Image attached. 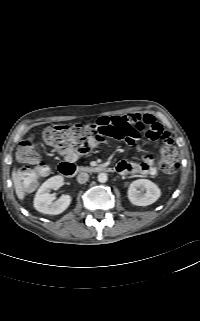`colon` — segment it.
Listing matches in <instances>:
<instances>
[{
  "instance_id": "obj_1",
  "label": "colon",
  "mask_w": 200,
  "mask_h": 321,
  "mask_svg": "<svg viewBox=\"0 0 200 321\" xmlns=\"http://www.w3.org/2000/svg\"><path fill=\"white\" fill-rule=\"evenodd\" d=\"M118 130L113 125L74 124L52 125L44 131L45 141L58 150L68 153L76 151L87 153L91 148L105 143L108 139H119ZM19 159L31 167L20 171V176L28 188H33L38 181L47 175L48 167L39 163V156L32 137L24 139L18 149ZM179 160L176 150L169 147L161 153L160 167L168 179H173L178 169Z\"/></svg>"
}]
</instances>
